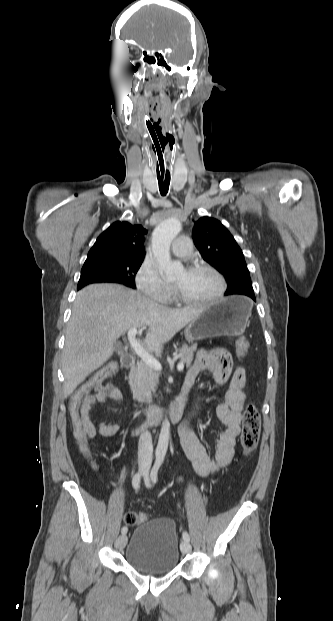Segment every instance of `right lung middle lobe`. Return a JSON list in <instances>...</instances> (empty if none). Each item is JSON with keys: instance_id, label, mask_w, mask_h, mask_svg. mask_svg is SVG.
<instances>
[{"instance_id": "dd1d6c3e", "label": "right lung middle lobe", "mask_w": 333, "mask_h": 621, "mask_svg": "<svg viewBox=\"0 0 333 621\" xmlns=\"http://www.w3.org/2000/svg\"><path fill=\"white\" fill-rule=\"evenodd\" d=\"M143 260L100 259L85 261L78 288L91 283L113 282L135 288V274Z\"/></svg>"}]
</instances>
